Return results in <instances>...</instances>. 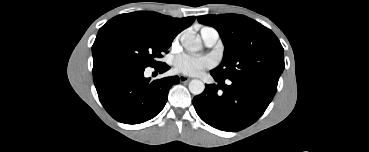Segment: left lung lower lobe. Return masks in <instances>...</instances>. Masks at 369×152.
<instances>
[{
    "label": "left lung lower lobe",
    "instance_id": "obj_1",
    "mask_svg": "<svg viewBox=\"0 0 369 152\" xmlns=\"http://www.w3.org/2000/svg\"><path fill=\"white\" fill-rule=\"evenodd\" d=\"M218 85H205L193 99L198 116L210 126L228 132L242 130L256 122L272 101L277 84L262 80L222 79L210 72Z\"/></svg>",
    "mask_w": 369,
    "mask_h": 152
}]
</instances>
